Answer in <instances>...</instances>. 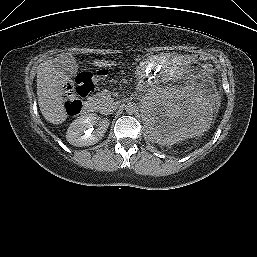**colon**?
Wrapping results in <instances>:
<instances>
[{"mask_svg":"<svg viewBox=\"0 0 257 257\" xmlns=\"http://www.w3.org/2000/svg\"><path fill=\"white\" fill-rule=\"evenodd\" d=\"M194 58L198 62H206L208 57L204 53L194 54ZM109 77L106 71H99L97 74H92L88 71L80 72L76 77V86L69 90L66 95L65 108L69 114H77L82 105V99L94 91L98 82Z\"/></svg>","mask_w":257,"mask_h":257,"instance_id":"obj_1","label":"colon"}]
</instances>
